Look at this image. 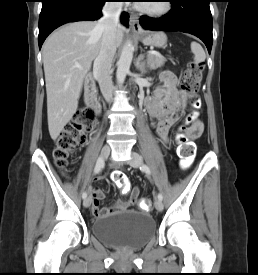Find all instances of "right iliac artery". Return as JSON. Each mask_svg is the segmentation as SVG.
<instances>
[{
	"label": "right iliac artery",
	"instance_id": "82829eb1",
	"mask_svg": "<svg viewBox=\"0 0 258 275\" xmlns=\"http://www.w3.org/2000/svg\"><path fill=\"white\" fill-rule=\"evenodd\" d=\"M103 167H104V160L102 157H99L94 168V174H98ZM86 197H87V193L83 192L82 198L85 199Z\"/></svg>",
	"mask_w": 258,
	"mask_h": 275
}]
</instances>
